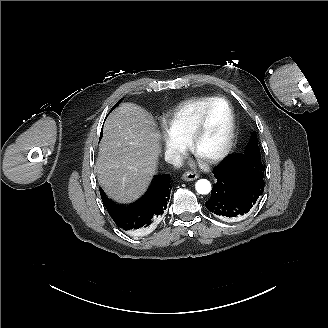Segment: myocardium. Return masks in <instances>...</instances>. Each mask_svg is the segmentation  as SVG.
Wrapping results in <instances>:
<instances>
[{
    "label": "myocardium",
    "mask_w": 328,
    "mask_h": 328,
    "mask_svg": "<svg viewBox=\"0 0 328 328\" xmlns=\"http://www.w3.org/2000/svg\"><path fill=\"white\" fill-rule=\"evenodd\" d=\"M220 102L225 103L227 105L230 115V124L226 141L222 148L216 153L209 156H201L198 153V145L206 128L208 114L214 108V106ZM236 128V115L232 103L224 97H214V99L201 110V113L192 128L191 134L187 141V145L195 155L200 157L205 162L211 164L220 162L221 160L226 158L233 149L236 138Z\"/></svg>",
    "instance_id": "myocardium-1"
}]
</instances>
